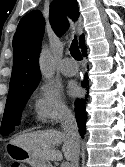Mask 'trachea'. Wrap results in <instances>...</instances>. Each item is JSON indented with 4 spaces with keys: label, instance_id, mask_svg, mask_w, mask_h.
Segmentation results:
<instances>
[{
    "label": "trachea",
    "instance_id": "obj_1",
    "mask_svg": "<svg viewBox=\"0 0 125 167\" xmlns=\"http://www.w3.org/2000/svg\"><path fill=\"white\" fill-rule=\"evenodd\" d=\"M70 53L75 60H82V56L79 51L78 41L76 37L73 39L72 44L70 46Z\"/></svg>",
    "mask_w": 125,
    "mask_h": 167
}]
</instances>
